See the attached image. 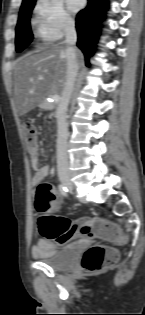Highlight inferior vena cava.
I'll list each match as a JSON object with an SVG mask.
<instances>
[{"label": "inferior vena cava", "instance_id": "inferior-vena-cava-1", "mask_svg": "<svg viewBox=\"0 0 145 315\" xmlns=\"http://www.w3.org/2000/svg\"><path fill=\"white\" fill-rule=\"evenodd\" d=\"M66 39L67 45L65 49L66 56V78L65 84L62 91V98L57 109V172L58 177L63 179L70 178V171L68 165V154H67V140H68V124L66 122V114L68 110L69 100L74 88L77 72L78 62L76 56V49L74 45L77 42V33L75 24L72 22L67 23L66 28Z\"/></svg>", "mask_w": 145, "mask_h": 315}]
</instances>
